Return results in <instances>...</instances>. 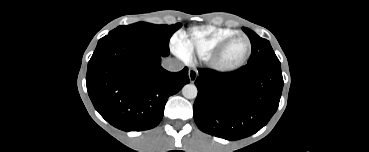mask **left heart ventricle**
Segmentation results:
<instances>
[{"mask_svg": "<svg viewBox=\"0 0 369 152\" xmlns=\"http://www.w3.org/2000/svg\"><path fill=\"white\" fill-rule=\"evenodd\" d=\"M248 43L243 38L234 40L225 50L221 57V63L231 65L239 62L246 54Z\"/></svg>", "mask_w": 369, "mask_h": 152, "instance_id": "obj_1", "label": "left heart ventricle"}]
</instances>
